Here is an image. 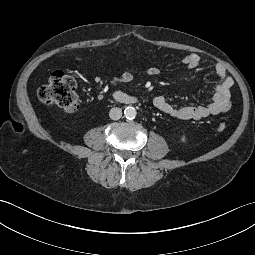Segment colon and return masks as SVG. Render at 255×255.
Returning <instances> with one entry per match:
<instances>
[{
	"instance_id": "colon-1",
	"label": "colon",
	"mask_w": 255,
	"mask_h": 255,
	"mask_svg": "<svg viewBox=\"0 0 255 255\" xmlns=\"http://www.w3.org/2000/svg\"><path fill=\"white\" fill-rule=\"evenodd\" d=\"M39 100L49 106H56L66 113L76 111L78 99L75 93L74 79L63 71L52 74L49 82L38 89ZM218 131L226 130L225 123L217 125Z\"/></svg>"
}]
</instances>
